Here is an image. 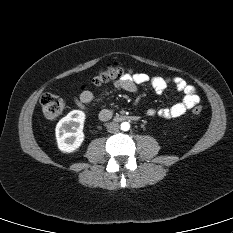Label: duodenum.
<instances>
[{"label": "duodenum", "mask_w": 233, "mask_h": 233, "mask_svg": "<svg viewBox=\"0 0 233 233\" xmlns=\"http://www.w3.org/2000/svg\"><path fill=\"white\" fill-rule=\"evenodd\" d=\"M104 119L108 120V118H104ZM116 120L117 121H138L139 117L136 115H121V116L116 117Z\"/></svg>", "instance_id": "duodenum-1"}]
</instances>
